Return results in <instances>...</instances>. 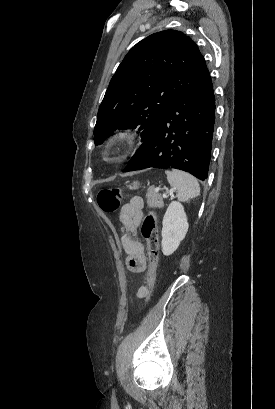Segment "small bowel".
I'll return each instance as SVG.
<instances>
[{
    "label": "small bowel",
    "mask_w": 275,
    "mask_h": 409,
    "mask_svg": "<svg viewBox=\"0 0 275 409\" xmlns=\"http://www.w3.org/2000/svg\"><path fill=\"white\" fill-rule=\"evenodd\" d=\"M143 208V198L134 196L122 207L120 212L121 244L127 254V268L133 273L144 272L148 267L145 246L137 237V228L144 215ZM144 287L139 288L137 291L138 297H142Z\"/></svg>",
    "instance_id": "c3829d8e"
}]
</instances>
